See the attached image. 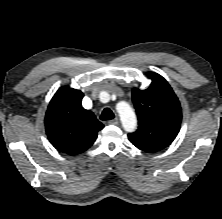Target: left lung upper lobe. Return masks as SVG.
Returning a JSON list of instances; mask_svg holds the SVG:
<instances>
[{"label": "left lung upper lobe", "mask_w": 222, "mask_h": 219, "mask_svg": "<svg viewBox=\"0 0 222 219\" xmlns=\"http://www.w3.org/2000/svg\"><path fill=\"white\" fill-rule=\"evenodd\" d=\"M151 85L132 90V101L138 116V129L129 140L140 150L155 152L175 139L181 124V107L168 82L159 74L148 72Z\"/></svg>", "instance_id": "left-lung-upper-lobe-1"}]
</instances>
